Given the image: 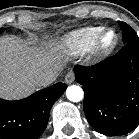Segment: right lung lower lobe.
Wrapping results in <instances>:
<instances>
[{
    "label": "right lung lower lobe",
    "mask_w": 139,
    "mask_h": 139,
    "mask_svg": "<svg viewBox=\"0 0 139 139\" xmlns=\"http://www.w3.org/2000/svg\"><path fill=\"white\" fill-rule=\"evenodd\" d=\"M56 83L18 100L0 99V139H37L44 132L53 104L66 90Z\"/></svg>",
    "instance_id": "1"
}]
</instances>
